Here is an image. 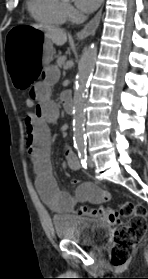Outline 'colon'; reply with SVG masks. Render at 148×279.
Returning <instances> with one entry per match:
<instances>
[{
  "label": "colon",
  "instance_id": "colon-1",
  "mask_svg": "<svg viewBox=\"0 0 148 279\" xmlns=\"http://www.w3.org/2000/svg\"><path fill=\"white\" fill-rule=\"evenodd\" d=\"M35 103L34 96L29 94L25 100L26 106L32 108ZM79 212L97 217L109 224L119 225L114 232L111 250V262L115 266L124 265L129 261L136 245L148 230L146 208L133 201L121 202L118 209L81 207Z\"/></svg>",
  "mask_w": 148,
  "mask_h": 279
}]
</instances>
